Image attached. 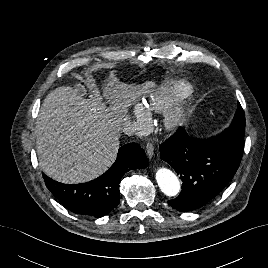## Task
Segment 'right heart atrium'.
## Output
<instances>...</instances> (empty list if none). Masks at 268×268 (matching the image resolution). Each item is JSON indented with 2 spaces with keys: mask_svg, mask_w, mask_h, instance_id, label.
Returning a JSON list of instances; mask_svg holds the SVG:
<instances>
[{
  "mask_svg": "<svg viewBox=\"0 0 268 268\" xmlns=\"http://www.w3.org/2000/svg\"><path fill=\"white\" fill-rule=\"evenodd\" d=\"M132 116L137 123L141 124L148 120L151 113L144 103L138 102L133 107Z\"/></svg>",
  "mask_w": 268,
  "mask_h": 268,
  "instance_id": "right-heart-atrium-1",
  "label": "right heart atrium"
}]
</instances>
